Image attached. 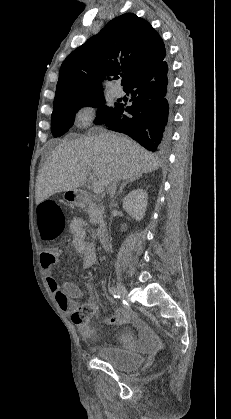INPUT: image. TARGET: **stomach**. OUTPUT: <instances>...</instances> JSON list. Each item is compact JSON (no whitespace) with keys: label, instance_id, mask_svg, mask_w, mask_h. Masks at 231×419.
<instances>
[{"label":"stomach","instance_id":"stomach-1","mask_svg":"<svg viewBox=\"0 0 231 419\" xmlns=\"http://www.w3.org/2000/svg\"><path fill=\"white\" fill-rule=\"evenodd\" d=\"M64 199L70 205H80V196L77 190L65 192Z\"/></svg>","mask_w":231,"mask_h":419}]
</instances>
